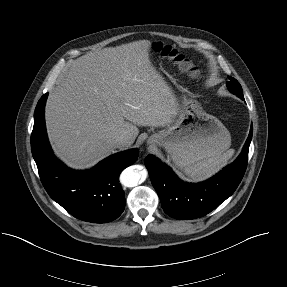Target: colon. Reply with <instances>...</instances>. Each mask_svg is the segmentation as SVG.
<instances>
[{
	"label": "colon",
	"mask_w": 287,
	"mask_h": 287,
	"mask_svg": "<svg viewBox=\"0 0 287 287\" xmlns=\"http://www.w3.org/2000/svg\"><path fill=\"white\" fill-rule=\"evenodd\" d=\"M156 50L160 52L163 56L172 60L178 65L179 68L189 73L190 75H198L197 68L193 65V63L173 47L169 45L158 44L156 46Z\"/></svg>",
	"instance_id": "colon-1"
}]
</instances>
